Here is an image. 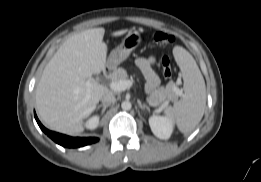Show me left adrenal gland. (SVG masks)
Masks as SVG:
<instances>
[{
	"instance_id": "a2214340",
	"label": "left adrenal gland",
	"mask_w": 261,
	"mask_h": 182,
	"mask_svg": "<svg viewBox=\"0 0 261 182\" xmlns=\"http://www.w3.org/2000/svg\"><path fill=\"white\" fill-rule=\"evenodd\" d=\"M138 105L141 109H147L148 111L150 110L146 104H142L140 101H138Z\"/></svg>"
}]
</instances>
